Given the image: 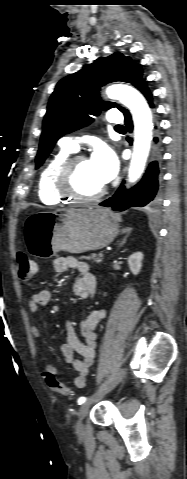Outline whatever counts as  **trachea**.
<instances>
[{
	"label": "trachea",
	"instance_id": "obj_1",
	"mask_svg": "<svg viewBox=\"0 0 187 479\" xmlns=\"http://www.w3.org/2000/svg\"><path fill=\"white\" fill-rule=\"evenodd\" d=\"M123 128H124V126H122V125L116 126V129H123Z\"/></svg>",
	"mask_w": 187,
	"mask_h": 479
}]
</instances>
